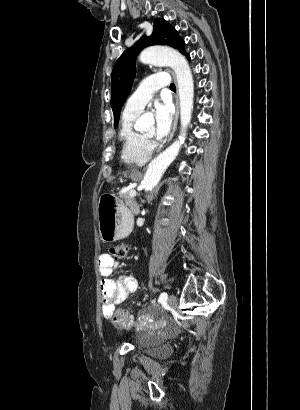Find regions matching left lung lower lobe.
Returning <instances> with one entry per match:
<instances>
[{"label":"left lung lower lobe","mask_w":300,"mask_h":410,"mask_svg":"<svg viewBox=\"0 0 300 410\" xmlns=\"http://www.w3.org/2000/svg\"><path fill=\"white\" fill-rule=\"evenodd\" d=\"M186 57L190 60V56H189V55H186Z\"/></svg>","instance_id":"1"}]
</instances>
